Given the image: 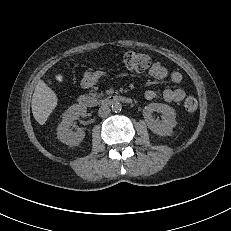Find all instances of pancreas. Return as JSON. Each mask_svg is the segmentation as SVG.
Returning <instances> with one entry per match:
<instances>
[{
    "mask_svg": "<svg viewBox=\"0 0 231 231\" xmlns=\"http://www.w3.org/2000/svg\"><path fill=\"white\" fill-rule=\"evenodd\" d=\"M90 95L94 98H100L101 96H103V93L97 94L95 91H91Z\"/></svg>",
    "mask_w": 231,
    "mask_h": 231,
    "instance_id": "obj_1",
    "label": "pancreas"
}]
</instances>
